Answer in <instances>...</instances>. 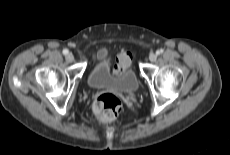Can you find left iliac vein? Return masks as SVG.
Returning a JSON list of instances; mask_svg holds the SVG:
<instances>
[{
	"mask_svg": "<svg viewBox=\"0 0 230 155\" xmlns=\"http://www.w3.org/2000/svg\"><path fill=\"white\" fill-rule=\"evenodd\" d=\"M149 60H150L151 62H155V61L157 60V55H156L155 53H151V54L149 55Z\"/></svg>",
	"mask_w": 230,
	"mask_h": 155,
	"instance_id": "left-iliac-vein-1",
	"label": "left iliac vein"
}]
</instances>
